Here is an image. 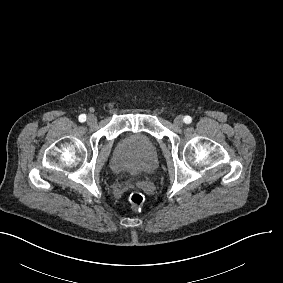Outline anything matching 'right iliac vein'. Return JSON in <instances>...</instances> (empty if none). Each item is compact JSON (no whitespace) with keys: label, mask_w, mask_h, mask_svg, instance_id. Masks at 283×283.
Returning <instances> with one entry per match:
<instances>
[{"label":"right iliac vein","mask_w":283,"mask_h":283,"mask_svg":"<svg viewBox=\"0 0 283 283\" xmlns=\"http://www.w3.org/2000/svg\"><path fill=\"white\" fill-rule=\"evenodd\" d=\"M88 124H94L96 122V117L94 115H88L87 117Z\"/></svg>","instance_id":"right-iliac-vein-1"}]
</instances>
